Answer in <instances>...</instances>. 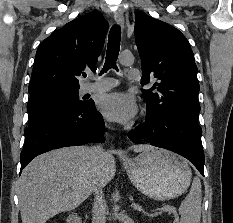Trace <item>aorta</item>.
Segmentation results:
<instances>
[{
  "mask_svg": "<svg viewBox=\"0 0 233 223\" xmlns=\"http://www.w3.org/2000/svg\"><path fill=\"white\" fill-rule=\"evenodd\" d=\"M120 64H123V66H132L134 62V56L130 54V56H120L119 58Z\"/></svg>",
  "mask_w": 233,
  "mask_h": 223,
  "instance_id": "1",
  "label": "aorta"
}]
</instances>
